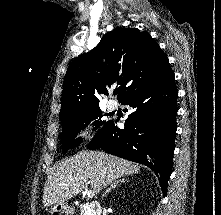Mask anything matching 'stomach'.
<instances>
[{
    "mask_svg": "<svg viewBox=\"0 0 221 215\" xmlns=\"http://www.w3.org/2000/svg\"><path fill=\"white\" fill-rule=\"evenodd\" d=\"M72 210L66 203H58L52 205L50 209L51 215H71Z\"/></svg>",
    "mask_w": 221,
    "mask_h": 215,
    "instance_id": "1",
    "label": "stomach"
}]
</instances>
